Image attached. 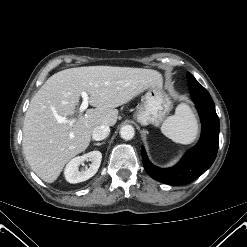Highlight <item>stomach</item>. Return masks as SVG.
Listing matches in <instances>:
<instances>
[{
	"label": "stomach",
	"instance_id": "obj_1",
	"mask_svg": "<svg viewBox=\"0 0 247 247\" xmlns=\"http://www.w3.org/2000/svg\"><path fill=\"white\" fill-rule=\"evenodd\" d=\"M162 79L152 84L141 99L134 119L142 125L158 126L164 121L172 108V102L163 89Z\"/></svg>",
	"mask_w": 247,
	"mask_h": 247
}]
</instances>
